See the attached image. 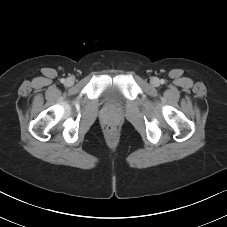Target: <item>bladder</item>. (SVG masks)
<instances>
[{
	"label": "bladder",
	"instance_id": "31cf9c89",
	"mask_svg": "<svg viewBox=\"0 0 227 227\" xmlns=\"http://www.w3.org/2000/svg\"><path fill=\"white\" fill-rule=\"evenodd\" d=\"M102 98L106 104L117 105L122 99V93L117 85L110 84L104 88Z\"/></svg>",
	"mask_w": 227,
	"mask_h": 227
}]
</instances>
